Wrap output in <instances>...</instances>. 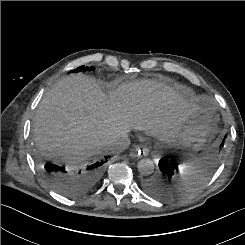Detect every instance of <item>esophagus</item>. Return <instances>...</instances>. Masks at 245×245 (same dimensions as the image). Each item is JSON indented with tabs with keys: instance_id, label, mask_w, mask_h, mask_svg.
<instances>
[{
	"instance_id": "esophagus-1",
	"label": "esophagus",
	"mask_w": 245,
	"mask_h": 245,
	"mask_svg": "<svg viewBox=\"0 0 245 245\" xmlns=\"http://www.w3.org/2000/svg\"><path fill=\"white\" fill-rule=\"evenodd\" d=\"M132 152V155L137 157H146L149 153L148 149L144 145L134 147Z\"/></svg>"
}]
</instances>
